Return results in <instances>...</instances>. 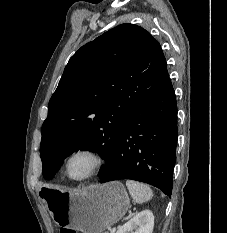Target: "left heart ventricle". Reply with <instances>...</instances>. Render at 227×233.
Here are the masks:
<instances>
[{
	"instance_id": "obj_1",
	"label": "left heart ventricle",
	"mask_w": 227,
	"mask_h": 233,
	"mask_svg": "<svg viewBox=\"0 0 227 233\" xmlns=\"http://www.w3.org/2000/svg\"><path fill=\"white\" fill-rule=\"evenodd\" d=\"M92 165L93 160L88 155H78L71 160L69 171L72 177L80 178L91 170Z\"/></svg>"
}]
</instances>
